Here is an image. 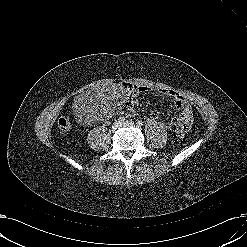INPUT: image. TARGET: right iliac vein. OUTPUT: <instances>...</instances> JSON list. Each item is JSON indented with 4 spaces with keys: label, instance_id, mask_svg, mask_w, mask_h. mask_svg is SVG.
Here are the masks:
<instances>
[{
    "label": "right iliac vein",
    "instance_id": "63e3f726",
    "mask_svg": "<svg viewBox=\"0 0 247 247\" xmlns=\"http://www.w3.org/2000/svg\"><path fill=\"white\" fill-rule=\"evenodd\" d=\"M119 126H121V123L118 122L114 123L112 126L113 131H115Z\"/></svg>",
    "mask_w": 247,
    "mask_h": 247
}]
</instances>
